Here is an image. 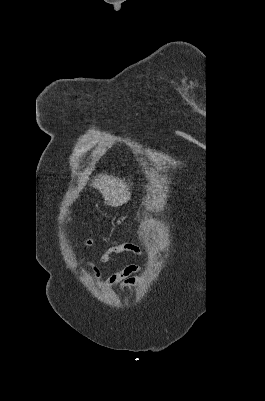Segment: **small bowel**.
<instances>
[{"instance_id": "c3829d8e", "label": "small bowel", "mask_w": 265, "mask_h": 401, "mask_svg": "<svg viewBox=\"0 0 265 401\" xmlns=\"http://www.w3.org/2000/svg\"><path fill=\"white\" fill-rule=\"evenodd\" d=\"M105 242H110L108 239H104ZM94 243V239L87 241V245L90 246ZM112 246L107 250V252L99 259V265L93 264L91 262H86L87 267H89L94 273L97 279H102L100 266L105 265L112 257L115 255L132 252L135 254H141L140 247L133 241H126L123 243L110 242ZM143 271V266L137 264H131L126 266L123 270L118 273L111 275L104 279V282L109 285H119L120 291L124 292L126 287L136 286L141 282V273Z\"/></svg>"}]
</instances>
